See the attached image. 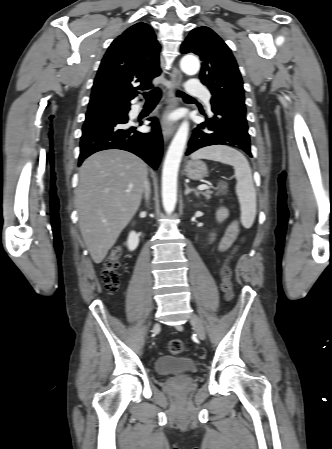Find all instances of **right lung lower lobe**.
Returning <instances> with one entry per match:
<instances>
[{
    "label": "right lung lower lobe",
    "mask_w": 332,
    "mask_h": 449,
    "mask_svg": "<svg viewBox=\"0 0 332 449\" xmlns=\"http://www.w3.org/2000/svg\"><path fill=\"white\" fill-rule=\"evenodd\" d=\"M128 108L126 116L110 115L100 120L85 122L80 141L79 165L91 154L106 149H121L141 157L154 169L158 168L163 151L159 122L150 118L149 133L136 131L129 126Z\"/></svg>",
    "instance_id": "right-lung-lower-lobe-1"
}]
</instances>
